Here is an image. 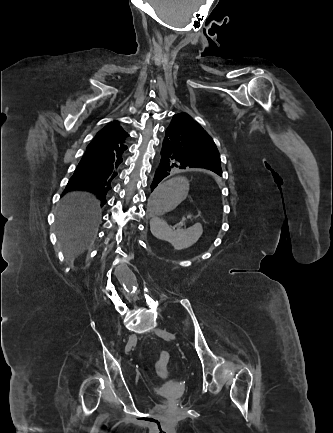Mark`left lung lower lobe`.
Instances as JSON below:
<instances>
[{
  "instance_id": "0a47b994",
  "label": "left lung lower lobe",
  "mask_w": 333,
  "mask_h": 433,
  "mask_svg": "<svg viewBox=\"0 0 333 433\" xmlns=\"http://www.w3.org/2000/svg\"><path fill=\"white\" fill-rule=\"evenodd\" d=\"M197 168L210 170L172 150L170 147V142L167 140V138H164L161 150V159L155 172L154 180L151 184V191L159 186V183L165 177L170 175L171 172L182 169L191 170Z\"/></svg>"
}]
</instances>
